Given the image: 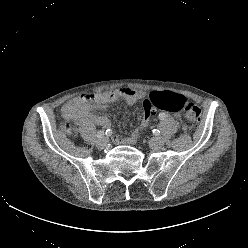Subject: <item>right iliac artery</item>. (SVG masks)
Segmentation results:
<instances>
[{
    "label": "right iliac artery",
    "instance_id": "1",
    "mask_svg": "<svg viewBox=\"0 0 248 248\" xmlns=\"http://www.w3.org/2000/svg\"><path fill=\"white\" fill-rule=\"evenodd\" d=\"M108 131V130H107ZM107 131H106V134H107ZM98 138H102L104 136V131H98L97 132V135H96Z\"/></svg>",
    "mask_w": 248,
    "mask_h": 248
}]
</instances>
